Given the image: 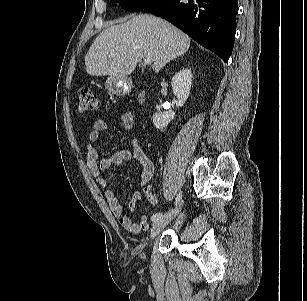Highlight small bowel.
<instances>
[{"label":"small bowel","mask_w":307,"mask_h":301,"mask_svg":"<svg viewBox=\"0 0 307 301\" xmlns=\"http://www.w3.org/2000/svg\"><path fill=\"white\" fill-rule=\"evenodd\" d=\"M120 120L126 131L134 132L137 129V122L131 112H121ZM107 129L108 124L106 121L97 120L88 133V143L86 144V165L90 174L96 179L97 183L104 188L106 186V180L100 176L101 172L120 166L124 162H137L142 167L140 183L144 188V194L147 200L151 204H159L160 197L151 191L149 185L154 175V163L144 152L137 140L133 139L129 148L117 151L109 157L99 161V155L94 144L99 140L100 134L105 132ZM105 197L112 214L119 220V223L125 230L134 235H138L149 228L150 222L146 215H142L139 222H135L132 217V214L136 212L137 206L142 200L141 192H134L131 196L129 201L130 215H124L123 206L113 189H106Z\"/></svg>","instance_id":"1"}]
</instances>
